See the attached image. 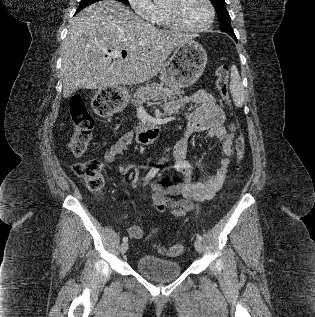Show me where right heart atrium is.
<instances>
[{"instance_id": "obj_1", "label": "right heart atrium", "mask_w": 315, "mask_h": 317, "mask_svg": "<svg viewBox=\"0 0 315 317\" xmlns=\"http://www.w3.org/2000/svg\"><path fill=\"white\" fill-rule=\"evenodd\" d=\"M135 13L144 20L153 21L158 7L152 0H128Z\"/></svg>"}]
</instances>
